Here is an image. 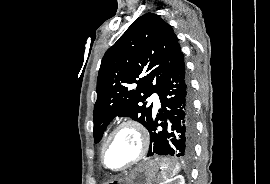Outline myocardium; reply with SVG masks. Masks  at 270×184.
<instances>
[{
  "instance_id": "f54148a6",
  "label": "myocardium",
  "mask_w": 270,
  "mask_h": 184,
  "mask_svg": "<svg viewBox=\"0 0 270 184\" xmlns=\"http://www.w3.org/2000/svg\"><path fill=\"white\" fill-rule=\"evenodd\" d=\"M125 127H130L132 129H134L139 137L140 140V149L139 152L137 154V156L130 161L128 164H126L123 167L120 168H111L106 164V159H105V155H106V151L108 149V146L110 145L111 141L113 140V138L115 137V135L123 128ZM149 149V136L147 133V130L145 129V127L142 125V123H140L138 120L136 119H132V118H128L125 119L123 121H121L109 134V136L107 137L102 150H101V162L102 165L113 172H121V171H125L131 167H133L134 165H136L137 163H139L147 154Z\"/></svg>"
}]
</instances>
